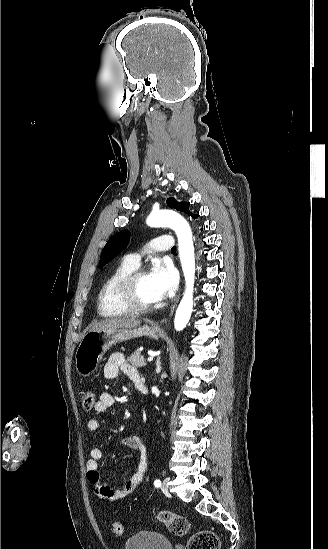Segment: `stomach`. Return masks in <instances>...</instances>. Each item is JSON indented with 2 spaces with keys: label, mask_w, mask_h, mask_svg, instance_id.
Listing matches in <instances>:
<instances>
[{
  "label": "stomach",
  "mask_w": 328,
  "mask_h": 549,
  "mask_svg": "<svg viewBox=\"0 0 328 549\" xmlns=\"http://www.w3.org/2000/svg\"><path fill=\"white\" fill-rule=\"evenodd\" d=\"M137 337H152L158 339V331L148 325L134 329H102V331H87L75 355L76 371L81 377H91L96 371L103 355L112 345L130 341Z\"/></svg>",
  "instance_id": "1"
}]
</instances>
